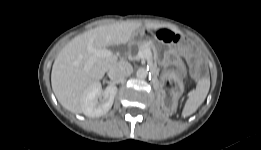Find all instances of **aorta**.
Returning a JSON list of instances; mask_svg holds the SVG:
<instances>
[{"instance_id": "obj_1", "label": "aorta", "mask_w": 261, "mask_h": 150, "mask_svg": "<svg viewBox=\"0 0 261 150\" xmlns=\"http://www.w3.org/2000/svg\"><path fill=\"white\" fill-rule=\"evenodd\" d=\"M149 72L147 69L145 68H139L136 72V76L139 78V79H145L147 76H148Z\"/></svg>"}]
</instances>
